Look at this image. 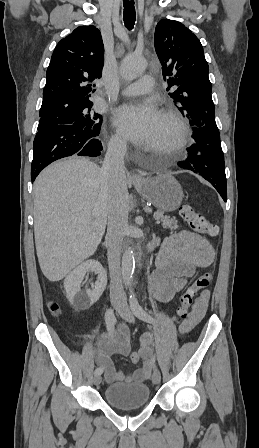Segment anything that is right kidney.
I'll use <instances>...</instances> for the list:
<instances>
[{
	"instance_id": "right-kidney-1",
	"label": "right kidney",
	"mask_w": 259,
	"mask_h": 448,
	"mask_svg": "<svg viewBox=\"0 0 259 448\" xmlns=\"http://www.w3.org/2000/svg\"><path fill=\"white\" fill-rule=\"evenodd\" d=\"M87 272L98 274L92 290H81V284ZM107 286V274L98 260H87L70 272L64 280L66 298L74 310H87L99 300Z\"/></svg>"
}]
</instances>
